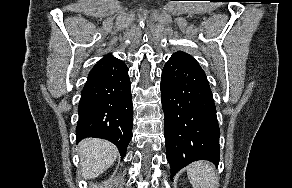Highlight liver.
Masks as SVG:
<instances>
[{
  "instance_id": "6515ba94",
  "label": "liver",
  "mask_w": 292,
  "mask_h": 188,
  "mask_svg": "<svg viewBox=\"0 0 292 188\" xmlns=\"http://www.w3.org/2000/svg\"><path fill=\"white\" fill-rule=\"evenodd\" d=\"M79 154L83 177L94 179L114 163L118 156V150L109 141L87 138L80 142Z\"/></svg>"
}]
</instances>
